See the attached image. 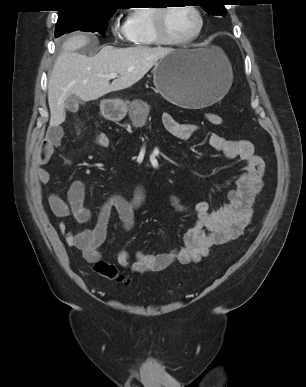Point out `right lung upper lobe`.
I'll use <instances>...</instances> for the list:
<instances>
[{"label": "right lung upper lobe", "mask_w": 306, "mask_h": 387, "mask_svg": "<svg viewBox=\"0 0 306 387\" xmlns=\"http://www.w3.org/2000/svg\"><path fill=\"white\" fill-rule=\"evenodd\" d=\"M59 13L69 11L116 10V0H63Z\"/></svg>", "instance_id": "right-lung-upper-lobe-1"}]
</instances>
